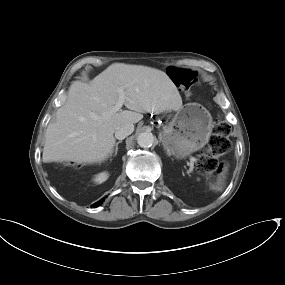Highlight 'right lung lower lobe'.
<instances>
[{
	"mask_svg": "<svg viewBox=\"0 0 285 285\" xmlns=\"http://www.w3.org/2000/svg\"><path fill=\"white\" fill-rule=\"evenodd\" d=\"M103 201H104V198L102 200L98 201L97 203L93 204V207L100 206L103 203Z\"/></svg>",
	"mask_w": 285,
	"mask_h": 285,
	"instance_id": "obj_1",
	"label": "right lung lower lobe"
}]
</instances>
